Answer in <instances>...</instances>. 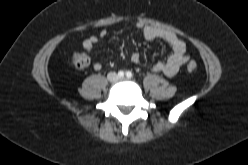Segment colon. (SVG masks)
Masks as SVG:
<instances>
[{
	"mask_svg": "<svg viewBox=\"0 0 248 165\" xmlns=\"http://www.w3.org/2000/svg\"><path fill=\"white\" fill-rule=\"evenodd\" d=\"M72 65L77 69H84L89 65V58L86 54L75 52L72 55ZM187 70L193 72L197 69V64L194 61H189L186 65Z\"/></svg>",
	"mask_w": 248,
	"mask_h": 165,
	"instance_id": "obj_1",
	"label": "colon"
}]
</instances>
